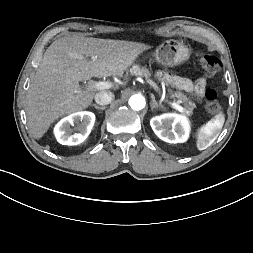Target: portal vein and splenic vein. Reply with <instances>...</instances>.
Masks as SVG:
<instances>
[{"label": "portal vein and splenic vein", "mask_w": 253, "mask_h": 253, "mask_svg": "<svg viewBox=\"0 0 253 253\" xmlns=\"http://www.w3.org/2000/svg\"><path fill=\"white\" fill-rule=\"evenodd\" d=\"M148 82L152 86L157 88V85L152 80H148ZM112 87H113L112 82H110V81H100V82H94V83L88 85L87 89H89V90H105V89H110ZM172 106H173V108H175L176 110H178L181 113L185 112V109L177 103H172Z\"/></svg>", "instance_id": "portal-vein-and-splenic-vein-1"}]
</instances>
